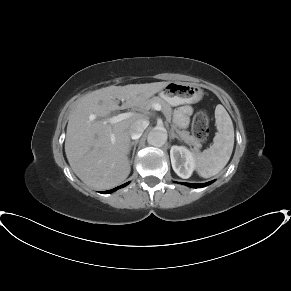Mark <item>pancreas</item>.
<instances>
[{"label": "pancreas", "instance_id": "cf45deb5", "mask_svg": "<svg viewBox=\"0 0 291 291\" xmlns=\"http://www.w3.org/2000/svg\"><path fill=\"white\" fill-rule=\"evenodd\" d=\"M155 103H158L161 105L162 113L164 114L166 119L168 121H170L171 114H172V108L165 100H163L162 98H160L158 96L152 97L151 99L147 100L145 102V104L142 106V109L147 111ZM174 129H175L176 133L178 134V136L181 138V140H183L185 143H187L189 145H193L195 149H199L202 147L201 141L198 138L191 136L188 131L179 130L175 126H174Z\"/></svg>", "mask_w": 291, "mask_h": 291}]
</instances>
